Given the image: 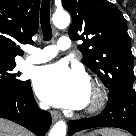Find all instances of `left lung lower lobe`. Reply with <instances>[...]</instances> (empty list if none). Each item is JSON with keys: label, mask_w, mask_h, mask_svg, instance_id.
Instances as JSON below:
<instances>
[{"label": "left lung lower lobe", "mask_w": 136, "mask_h": 136, "mask_svg": "<svg viewBox=\"0 0 136 136\" xmlns=\"http://www.w3.org/2000/svg\"><path fill=\"white\" fill-rule=\"evenodd\" d=\"M94 127H116L136 136V95L133 88H118L110 91L104 111L91 118L72 120L68 123V134Z\"/></svg>", "instance_id": "1"}]
</instances>
